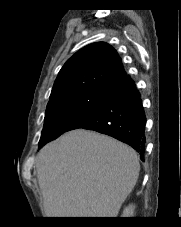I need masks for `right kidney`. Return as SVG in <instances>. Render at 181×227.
<instances>
[{
	"label": "right kidney",
	"instance_id": "1",
	"mask_svg": "<svg viewBox=\"0 0 181 227\" xmlns=\"http://www.w3.org/2000/svg\"><path fill=\"white\" fill-rule=\"evenodd\" d=\"M134 206L129 205L127 208L124 209L122 217H132L134 213Z\"/></svg>",
	"mask_w": 181,
	"mask_h": 227
}]
</instances>
